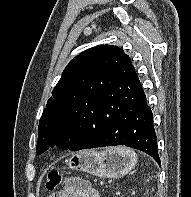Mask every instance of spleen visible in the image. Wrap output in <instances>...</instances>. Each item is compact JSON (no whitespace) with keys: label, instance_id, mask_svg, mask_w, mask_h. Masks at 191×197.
<instances>
[{"label":"spleen","instance_id":"spleen-1","mask_svg":"<svg viewBox=\"0 0 191 197\" xmlns=\"http://www.w3.org/2000/svg\"><path fill=\"white\" fill-rule=\"evenodd\" d=\"M116 150L121 154L129 156L132 161H135V162L137 161L136 153L133 150L126 148V147H118L116 148Z\"/></svg>","mask_w":191,"mask_h":197}]
</instances>
